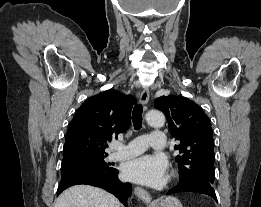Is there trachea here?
Instances as JSON below:
<instances>
[{
  "mask_svg": "<svg viewBox=\"0 0 261 207\" xmlns=\"http://www.w3.org/2000/svg\"><path fill=\"white\" fill-rule=\"evenodd\" d=\"M142 113L143 107L141 104L136 105L132 112L133 125L135 130H139L142 127Z\"/></svg>",
  "mask_w": 261,
  "mask_h": 207,
  "instance_id": "trachea-1",
  "label": "trachea"
}]
</instances>
